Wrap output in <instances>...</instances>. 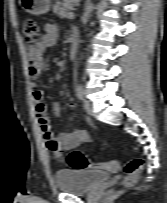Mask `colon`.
I'll list each match as a JSON object with an SVG mask.
<instances>
[{
  "label": "colon",
  "mask_w": 167,
  "mask_h": 203,
  "mask_svg": "<svg viewBox=\"0 0 167 203\" xmlns=\"http://www.w3.org/2000/svg\"><path fill=\"white\" fill-rule=\"evenodd\" d=\"M23 33L25 37V44L28 47H33L40 39V31L36 21L27 19L23 23ZM68 164L76 170L87 168L104 169L106 163H93L89 161L81 152L75 150L70 153L68 157ZM143 169V160L135 158L129 161L124 166L125 178L123 181L124 186H130L135 183L137 177Z\"/></svg>",
  "instance_id": "5ec220e1"
}]
</instances>
